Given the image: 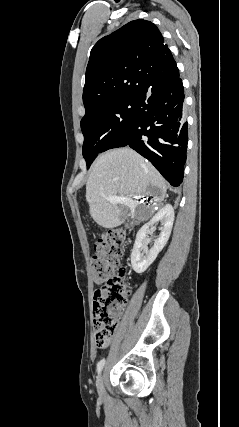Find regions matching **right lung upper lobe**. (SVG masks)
Here are the masks:
<instances>
[{
    "label": "right lung upper lobe",
    "instance_id": "1",
    "mask_svg": "<svg viewBox=\"0 0 239 427\" xmlns=\"http://www.w3.org/2000/svg\"><path fill=\"white\" fill-rule=\"evenodd\" d=\"M178 74L158 28L147 20L131 21L92 48L83 90L85 110L107 100L136 98Z\"/></svg>",
    "mask_w": 239,
    "mask_h": 427
}]
</instances>
